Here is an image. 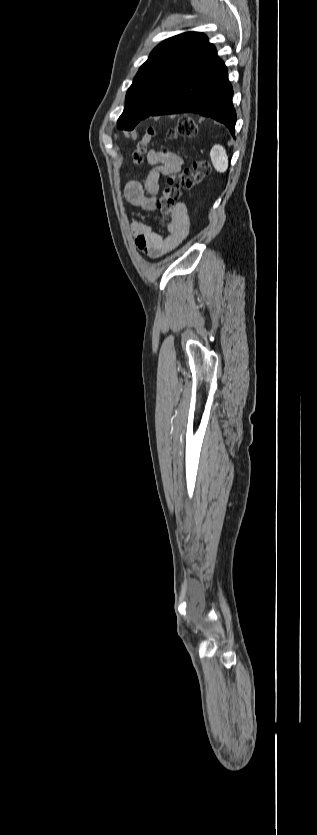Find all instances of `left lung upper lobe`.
Segmentation results:
<instances>
[{
	"label": "left lung upper lobe",
	"mask_w": 317,
	"mask_h": 835,
	"mask_svg": "<svg viewBox=\"0 0 317 835\" xmlns=\"http://www.w3.org/2000/svg\"><path fill=\"white\" fill-rule=\"evenodd\" d=\"M200 32H186L160 43L140 67L127 91L118 128L132 130L167 99L187 67L209 45Z\"/></svg>",
	"instance_id": "1"
}]
</instances>
